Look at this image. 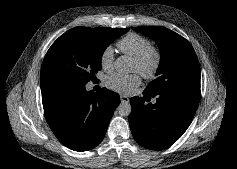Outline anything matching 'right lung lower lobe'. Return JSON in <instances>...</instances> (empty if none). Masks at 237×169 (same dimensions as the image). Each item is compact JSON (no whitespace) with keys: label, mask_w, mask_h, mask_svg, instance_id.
<instances>
[{"label":"right lung lower lobe","mask_w":237,"mask_h":169,"mask_svg":"<svg viewBox=\"0 0 237 169\" xmlns=\"http://www.w3.org/2000/svg\"><path fill=\"white\" fill-rule=\"evenodd\" d=\"M46 120L58 140L74 151H87L103 140L113 112L120 103L117 93L103 88L86 91L85 85H41Z\"/></svg>","instance_id":"right-lung-lower-lobe-1"}]
</instances>
